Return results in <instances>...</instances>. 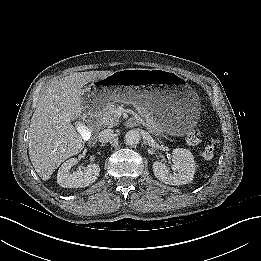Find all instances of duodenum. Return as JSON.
Returning <instances> with one entry per match:
<instances>
[{"mask_svg": "<svg viewBox=\"0 0 261 261\" xmlns=\"http://www.w3.org/2000/svg\"><path fill=\"white\" fill-rule=\"evenodd\" d=\"M87 123L91 129L98 131L101 125V118L97 114H91L88 117Z\"/></svg>", "mask_w": 261, "mask_h": 261, "instance_id": "obj_1", "label": "duodenum"}]
</instances>
